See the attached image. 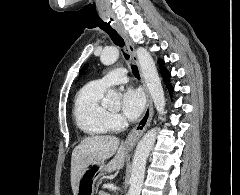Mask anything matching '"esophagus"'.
I'll list each match as a JSON object with an SVG mask.
<instances>
[{
	"label": "esophagus",
	"instance_id": "1",
	"mask_svg": "<svg viewBox=\"0 0 240 195\" xmlns=\"http://www.w3.org/2000/svg\"><path fill=\"white\" fill-rule=\"evenodd\" d=\"M112 26H113V28H115V30H117L119 35H121V37L123 38L128 52L132 56V59L134 60V62L137 64L139 71H140L143 87H144V90L146 93V105H145V109L142 114V117L140 118L138 123L135 125V127L131 130V132L128 133L126 141H125V144L127 147H134L136 145V143L139 141L140 137H142L143 133L147 130V128L149 127V125L152 121L153 102H152L150 93L148 91V88L143 80L141 69H140L139 62H138V58H137L135 48L132 44L131 39L128 37L127 33L124 31V29L122 28L121 25L113 24Z\"/></svg>",
	"mask_w": 240,
	"mask_h": 195
}]
</instances>
